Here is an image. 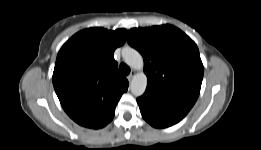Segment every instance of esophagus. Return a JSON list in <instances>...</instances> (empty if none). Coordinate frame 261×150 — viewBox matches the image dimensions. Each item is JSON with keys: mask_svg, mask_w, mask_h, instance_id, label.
<instances>
[{"mask_svg": "<svg viewBox=\"0 0 261 150\" xmlns=\"http://www.w3.org/2000/svg\"><path fill=\"white\" fill-rule=\"evenodd\" d=\"M135 71H132L128 76H127V79L128 81H132L133 77L135 76Z\"/></svg>", "mask_w": 261, "mask_h": 150, "instance_id": "1", "label": "esophagus"}]
</instances>
